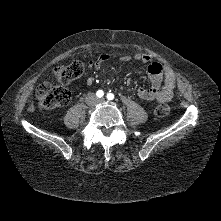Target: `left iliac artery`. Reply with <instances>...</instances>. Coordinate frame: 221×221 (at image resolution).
Instances as JSON below:
<instances>
[{
    "instance_id": "obj_1",
    "label": "left iliac artery",
    "mask_w": 221,
    "mask_h": 221,
    "mask_svg": "<svg viewBox=\"0 0 221 221\" xmlns=\"http://www.w3.org/2000/svg\"><path fill=\"white\" fill-rule=\"evenodd\" d=\"M106 97H107L108 100H113L114 99V95L112 93H108Z\"/></svg>"
}]
</instances>
